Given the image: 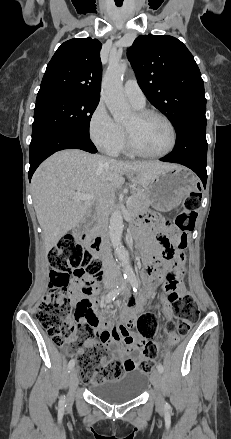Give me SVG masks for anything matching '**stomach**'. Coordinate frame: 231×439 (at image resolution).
Segmentation results:
<instances>
[{"label":"stomach","instance_id":"stomach-1","mask_svg":"<svg viewBox=\"0 0 231 439\" xmlns=\"http://www.w3.org/2000/svg\"><path fill=\"white\" fill-rule=\"evenodd\" d=\"M198 186L197 177L185 167L164 171L146 187L150 204L157 210L170 211L193 193Z\"/></svg>","mask_w":231,"mask_h":439}]
</instances>
